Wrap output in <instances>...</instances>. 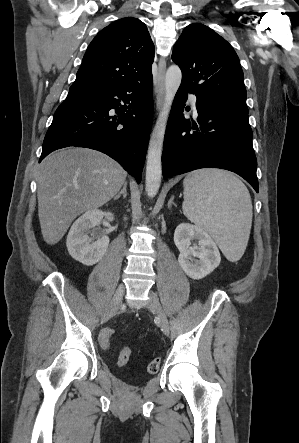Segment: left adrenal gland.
<instances>
[{"instance_id":"1","label":"left adrenal gland","mask_w":299,"mask_h":443,"mask_svg":"<svg viewBox=\"0 0 299 443\" xmlns=\"http://www.w3.org/2000/svg\"><path fill=\"white\" fill-rule=\"evenodd\" d=\"M174 196H172L170 198V200L168 201V209H171L172 205L176 206V204L174 203Z\"/></svg>"}]
</instances>
